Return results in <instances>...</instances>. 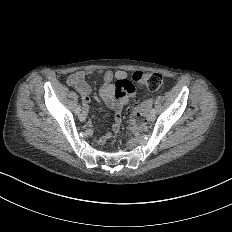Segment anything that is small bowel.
<instances>
[{
  "mask_svg": "<svg viewBox=\"0 0 232 232\" xmlns=\"http://www.w3.org/2000/svg\"><path fill=\"white\" fill-rule=\"evenodd\" d=\"M101 82L100 95L115 109V117L112 125V131L117 132L121 127V116L128 101V96L133 93V85L128 78L127 71L118 69L116 81L112 82L111 72L107 69H98L95 71ZM88 71L84 69L73 70L67 79V84L76 86L82 95V106L80 109V120L85 121L88 117L91 105L92 87L85 81ZM111 133H106L97 139L98 144H104L111 138Z\"/></svg>",
  "mask_w": 232,
  "mask_h": 232,
  "instance_id": "c3829d8e",
  "label": "small bowel"
}]
</instances>
